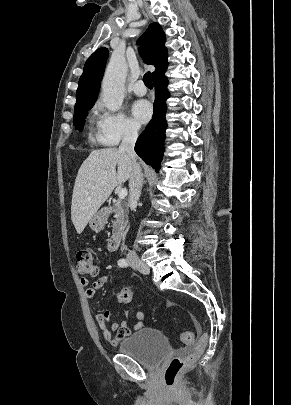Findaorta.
<instances>
[{
    "instance_id": "obj_1",
    "label": "aorta",
    "mask_w": 291,
    "mask_h": 405,
    "mask_svg": "<svg viewBox=\"0 0 291 405\" xmlns=\"http://www.w3.org/2000/svg\"><path fill=\"white\" fill-rule=\"evenodd\" d=\"M127 75V63L123 56L113 54L102 81V101L112 111H118L124 99V83Z\"/></svg>"
}]
</instances>
